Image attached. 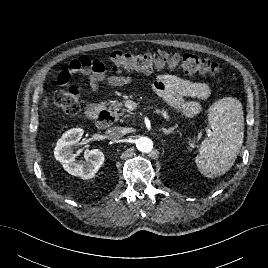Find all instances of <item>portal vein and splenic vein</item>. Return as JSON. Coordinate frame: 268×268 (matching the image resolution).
<instances>
[{
	"label": "portal vein and splenic vein",
	"instance_id": "1",
	"mask_svg": "<svg viewBox=\"0 0 268 268\" xmlns=\"http://www.w3.org/2000/svg\"><path fill=\"white\" fill-rule=\"evenodd\" d=\"M160 113H161V115L163 116V118H164L165 120H167V121L170 120V117H169V115H168V113H167L166 110L162 109V110L160 111Z\"/></svg>",
	"mask_w": 268,
	"mask_h": 268
}]
</instances>
